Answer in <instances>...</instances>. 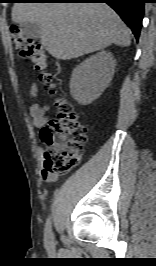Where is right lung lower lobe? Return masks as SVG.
I'll use <instances>...</instances> for the list:
<instances>
[{
  "instance_id": "right-lung-lower-lobe-1",
  "label": "right lung lower lobe",
  "mask_w": 156,
  "mask_h": 266,
  "mask_svg": "<svg viewBox=\"0 0 156 266\" xmlns=\"http://www.w3.org/2000/svg\"><path fill=\"white\" fill-rule=\"evenodd\" d=\"M56 3H107L131 28L136 40L142 26L145 0H33Z\"/></svg>"
}]
</instances>
